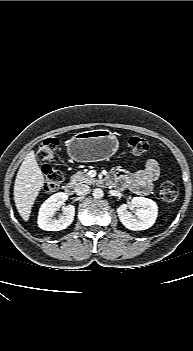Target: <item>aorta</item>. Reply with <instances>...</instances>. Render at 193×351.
Segmentation results:
<instances>
[{
    "mask_svg": "<svg viewBox=\"0 0 193 351\" xmlns=\"http://www.w3.org/2000/svg\"><path fill=\"white\" fill-rule=\"evenodd\" d=\"M92 195L95 199H101L104 196V192L100 188H95Z\"/></svg>",
    "mask_w": 193,
    "mask_h": 351,
    "instance_id": "1",
    "label": "aorta"
}]
</instances>
